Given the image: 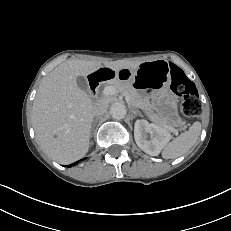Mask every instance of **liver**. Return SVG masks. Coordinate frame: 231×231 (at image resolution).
Returning a JSON list of instances; mask_svg holds the SVG:
<instances>
[{
  "label": "liver",
  "instance_id": "liver-1",
  "mask_svg": "<svg viewBox=\"0 0 231 231\" xmlns=\"http://www.w3.org/2000/svg\"><path fill=\"white\" fill-rule=\"evenodd\" d=\"M140 63L117 60L105 62L104 67L117 73L135 70ZM101 67V62L69 60L47 74L38 88L32 108L36 140L61 164L83 158L89 149L94 103L78 87L77 77H86ZM102 101L109 103L107 99Z\"/></svg>",
  "mask_w": 231,
  "mask_h": 231
}]
</instances>
